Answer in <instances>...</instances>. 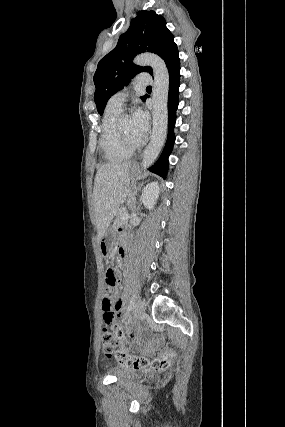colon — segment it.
Listing matches in <instances>:
<instances>
[{"label": "colon", "mask_w": 285, "mask_h": 427, "mask_svg": "<svg viewBox=\"0 0 285 427\" xmlns=\"http://www.w3.org/2000/svg\"><path fill=\"white\" fill-rule=\"evenodd\" d=\"M106 294L110 293L117 283V273L114 269H107L105 273ZM120 314H111L107 316L112 325H107L102 331V342L104 352L107 357H114L116 361L124 366L133 369H142L148 364V360L144 357L132 355L117 350L121 338V327L118 324ZM176 357V351L173 348L163 350L153 361L152 368L156 371H163L170 367Z\"/></svg>", "instance_id": "obj_1"}]
</instances>
